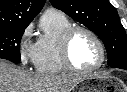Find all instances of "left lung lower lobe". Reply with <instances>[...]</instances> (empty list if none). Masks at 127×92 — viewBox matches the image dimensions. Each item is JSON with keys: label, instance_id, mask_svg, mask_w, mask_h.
Returning a JSON list of instances; mask_svg holds the SVG:
<instances>
[{"label": "left lung lower lobe", "instance_id": "0a47b994", "mask_svg": "<svg viewBox=\"0 0 127 92\" xmlns=\"http://www.w3.org/2000/svg\"><path fill=\"white\" fill-rule=\"evenodd\" d=\"M113 68H121V69L127 70V63H122V64H120L118 66L113 67Z\"/></svg>", "mask_w": 127, "mask_h": 92}]
</instances>
